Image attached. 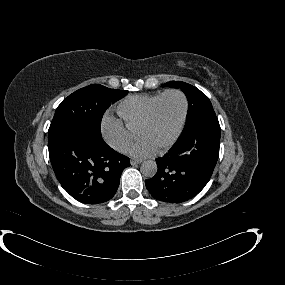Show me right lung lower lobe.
Masks as SVG:
<instances>
[{"label":"right lung lower lobe","mask_w":285,"mask_h":285,"mask_svg":"<svg viewBox=\"0 0 285 285\" xmlns=\"http://www.w3.org/2000/svg\"><path fill=\"white\" fill-rule=\"evenodd\" d=\"M54 173L62 187L77 201L99 204L116 193L129 158L84 130H70L48 143Z\"/></svg>","instance_id":"right-lung-lower-lobe-1"}]
</instances>
